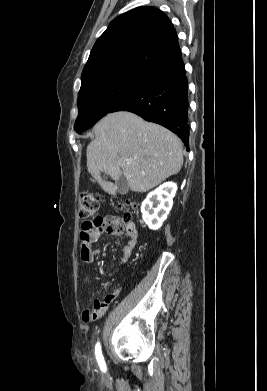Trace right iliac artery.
Segmentation results:
<instances>
[{
  "label": "right iliac artery",
  "mask_w": 267,
  "mask_h": 391,
  "mask_svg": "<svg viewBox=\"0 0 267 391\" xmlns=\"http://www.w3.org/2000/svg\"><path fill=\"white\" fill-rule=\"evenodd\" d=\"M95 352H96V358H97V361H98L100 368L102 370H105L106 366H105V362H104V359H103V356L101 353V346L99 343L96 344Z\"/></svg>",
  "instance_id": "obj_1"
}]
</instances>
